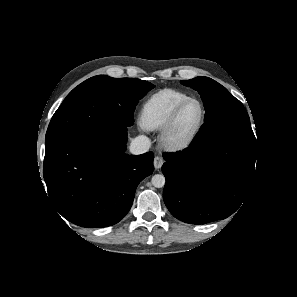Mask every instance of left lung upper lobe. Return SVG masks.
<instances>
[{"label":"left lung upper lobe","mask_w":297,"mask_h":297,"mask_svg":"<svg viewBox=\"0 0 297 297\" xmlns=\"http://www.w3.org/2000/svg\"><path fill=\"white\" fill-rule=\"evenodd\" d=\"M181 84L199 92L206 111L204 124L192 143L232 137L256 145L247 111L226 88L208 77L182 80Z\"/></svg>","instance_id":"left-lung-upper-lobe-1"}]
</instances>
